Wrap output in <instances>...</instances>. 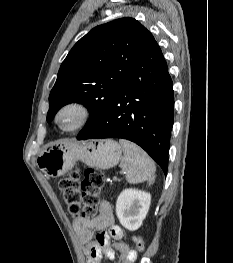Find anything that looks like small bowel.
Here are the masks:
<instances>
[{
    "label": "small bowel",
    "mask_w": 233,
    "mask_h": 263,
    "mask_svg": "<svg viewBox=\"0 0 233 263\" xmlns=\"http://www.w3.org/2000/svg\"><path fill=\"white\" fill-rule=\"evenodd\" d=\"M87 263H102L103 256L114 263H134L137 259L136 251L122 241L124 233L120 226L114 223L111 205L107 201L100 204L99 214L95 219L78 217L73 221ZM94 233L96 237L94 239ZM111 240L115 243L111 245ZM115 250L120 253L118 259Z\"/></svg>",
    "instance_id": "obj_1"
}]
</instances>
